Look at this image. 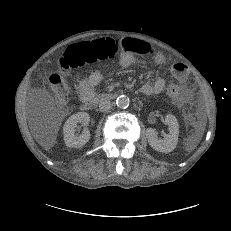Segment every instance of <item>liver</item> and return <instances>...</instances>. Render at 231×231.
I'll list each match as a JSON object with an SVG mask.
<instances>
[{
	"mask_svg": "<svg viewBox=\"0 0 231 231\" xmlns=\"http://www.w3.org/2000/svg\"><path fill=\"white\" fill-rule=\"evenodd\" d=\"M57 130H58V127H56L55 132ZM40 144L46 149L50 148L54 144V136L49 138L47 141H44V140L40 141Z\"/></svg>",
	"mask_w": 231,
	"mask_h": 231,
	"instance_id": "liver-1",
	"label": "liver"
}]
</instances>
